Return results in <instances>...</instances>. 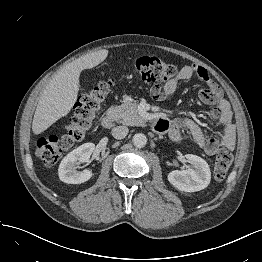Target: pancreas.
<instances>
[{
	"label": "pancreas",
	"instance_id": "pancreas-1",
	"mask_svg": "<svg viewBox=\"0 0 262 262\" xmlns=\"http://www.w3.org/2000/svg\"><path fill=\"white\" fill-rule=\"evenodd\" d=\"M115 120L124 125L141 126L144 123V117L141 115L137 103L126 98L119 106L111 108Z\"/></svg>",
	"mask_w": 262,
	"mask_h": 262
}]
</instances>
